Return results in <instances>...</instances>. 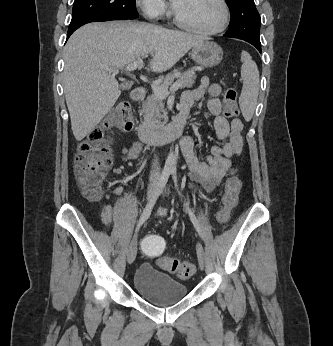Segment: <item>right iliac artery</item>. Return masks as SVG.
Masks as SVG:
<instances>
[{
  "mask_svg": "<svg viewBox=\"0 0 333 346\" xmlns=\"http://www.w3.org/2000/svg\"><path fill=\"white\" fill-rule=\"evenodd\" d=\"M171 174V170L169 168H164L161 176L159 178V181L157 183V187L152 195V198L150 199V201L148 202V204L146 205L139 221L136 227V231H138L140 229V227L145 223V221L149 218L151 211L159 197V195L161 194V192L163 191V188L165 187L169 176Z\"/></svg>",
  "mask_w": 333,
  "mask_h": 346,
  "instance_id": "right-iliac-artery-1",
  "label": "right iliac artery"
}]
</instances>
